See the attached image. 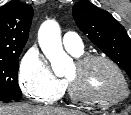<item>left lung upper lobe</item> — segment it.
Segmentation results:
<instances>
[{"instance_id": "1", "label": "left lung upper lobe", "mask_w": 131, "mask_h": 115, "mask_svg": "<svg viewBox=\"0 0 131 115\" xmlns=\"http://www.w3.org/2000/svg\"><path fill=\"white\" fill-rule=\"evenodd\" d=\"M72 12L80 30L131 79V40L124 27L88 0L77 2Z\"/></svg>"}]
</instances>
